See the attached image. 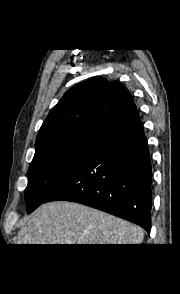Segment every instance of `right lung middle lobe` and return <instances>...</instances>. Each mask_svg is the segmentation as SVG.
Returning a JSON list of instances; mask_svg holds the SVG:
<instances>
[{
    "instance_id": "dd1d6c3e",
    "label": "right lung middle lobe",
    "mask_w": 180,
    "mask_h": 294,
    "mask_svg": "<svg viewBox=\"0 0 180 294\" xmlns=\"http://www.w3.org/2000/svg\"><path fill=\"white\" fill-rule=\"evenodd\" d=\"M99 141L74 139L35 153L25 189L27 212L46 202L49 195L80 166Z\"/></svg>"
}]
</instances>
